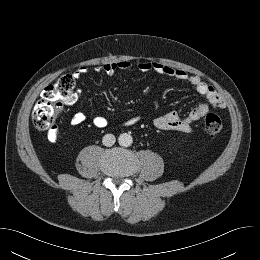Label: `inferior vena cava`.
<instances>
[{
  "instance_id": "obj_1",
  "label": "inferior vena cava",
  "mask_w": 260,
  "mask_h": 260,
  "mask_svg": "<svg viewBox=\"0 0 260 260\" xmlns=\"http://www.w3.org/2000/svg\"><path fill=\"white\" fill-rule=\"evenodd\" d=\"M103 145L110 147L116 142V138L113 134H106L102 138Z\"/></svg>"
}]
</instances>
